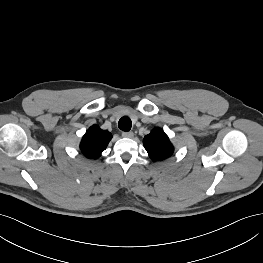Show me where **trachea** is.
Masks as SVG:
<instances>
[{
	"instance_id": "obj_1",
	"label": "trachea",
	"mask_w": 263,
	"mask_h": 263,
	"mask_svg": "<svg viewBox=\"0 0 263 263\" xmlns=\"http://www.w3.org/2000/svg\"><path fill=\"white\" fill-rule=\"evenodd\" d=\"M118 127L122 131H126V132L129 131L131 129V127H132L131 119L129 117H127V116L122 117L119 120Z\"/></svg>"
}]
</instances>
